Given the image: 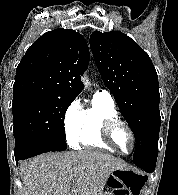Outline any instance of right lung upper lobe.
I'll use <instances>...</instances> for the list:
<instances>
[{
    "label": "right lung upper lobe",
    "mask_w": 178,
    "mask_h": 195,
    "mask_svg": "<svg viewBox=\"0 0 178 195\" xmlns=\"http://www.w3.org/2000/svg\"><path fill=\"white\" fill-rule=\"evenodd\" d=\"M89 59L88 45L80 33L63 28L46 32L20 61L13 96L41 93L75 99L84 88L80 78Z\"/></svg>",
    "instance_id": "1"
}]
</instances>
